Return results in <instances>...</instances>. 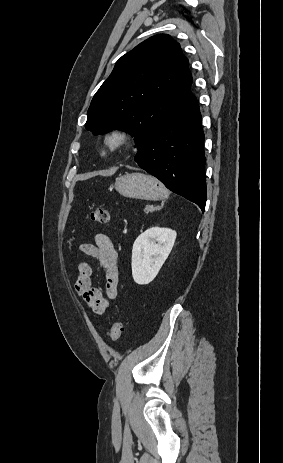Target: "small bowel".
<instances>
[{
    "label": "small bowel",
    "mask_w": 283,
    "mask_h": 463,
    "mask_svg": "<svg viewBox=\"0 0 283 463\" xmlns=\"http://www.w3.org/2000/svg\"><path fill=\"white\" fill-rule=\"evenodd\" d=\"M82 254L94 258L100 267L105 270L104 289L92 286L91 277L93 270L91 266L82 261L78 265L77 277L74 284L75 292L96 314H103L110 302L118 295L120 279V267L118 253L111 239L98 233L94 243H84L79 246Z\"/></svg>",
    "instance_id": "c3829d8e"
}]
</instances>
